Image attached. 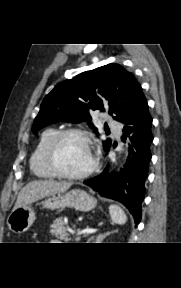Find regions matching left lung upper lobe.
<instances>
[{
  "label": "left lung upper lobe",
  "instance_id": "1",
  "mask_svg": "<svg viewBox=\"0 0 181 288\" xmlns=\"http://www.w3.org/2000/svg\"><path fill=\"white\" fill-rule=\"evenodd\" d=\"M140 88L133 74L119 64L85 71L58 84L44 98L32 131L37 135L39 129L59 121H90L93 111L104 112L106 108L121 122ZM110 145V139L103 142L104 149Z\"/></svg>",
  "mask_w": 181,
  "mask_h": 288
}]
</instances>
